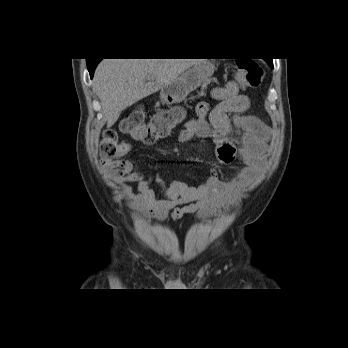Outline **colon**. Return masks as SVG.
Segmentation results:
<instances>
[{
  "label": "colon",
  "mask_w": 348,
  "mask_h": 348,
  "mask_svg": "<svg viewBox=\"0 0 348 348\" xmlns=\"http://www.w3.org/2000/svg\"><path fill=\"white\" fill-rule=\"evenodd\" d=\"M236 74L239 82L249 88L260 86L264 70L260 64L250 59H239L236 62ZM183 120L180 109L160 110L149 122L143 107L133 108L121 121L120 129L132 139L143 143H154L165 136ZM124 144L115 131H107L100 143V155L105 160H111L124 153Z\"/></svg>",
  "instance_id": "1"
}]
</instances>
